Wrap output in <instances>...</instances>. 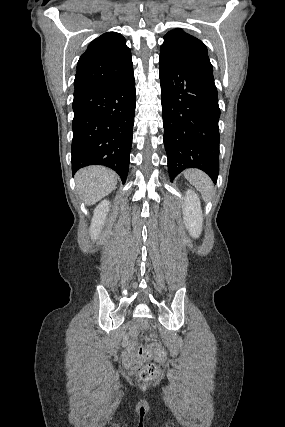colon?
Returning a JSON list of instances; mask_svg holds the SVG:
<instances>
[{
  "label": "colon",
  "instance_id": "5ec220e1",
  "mask_svg": "<svg viewBox=\"0 0 285 427\" xmlns=\"http://www.w3.org/2000/svg\"><path fill=\"white\" fill-rule=\"evenodd\" d=\"M136 325L140 329H146L149 323L144 320H138ZM132 353L143 359V361L136 364V370L139 377L144 381H151L156 374V367L149 360L155 359L163 362L166 359V351L160 343H152L139 349H133Z\"/></svg>",
  "mask_w": 285,
  "mask_h": 427
}]
</instances>
